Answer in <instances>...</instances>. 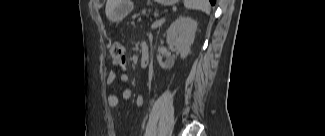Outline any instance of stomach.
I'll return each instance as SVG.
<instances>
[{
    "label": "stomach",
    "instance_id": "stomach-1",
    "mask_svg": "<svg viewBox=\"0 0 325 136\" xmlns=\"http://www.w3.org/2000/svg\"><path fill=\"white\" fill-rule=\"evenodd\" d=\"M159 4L162 5H173L178 0H156ZM131 2L129 0H119L117 3L113 13H112V21L118 22L121 21L131 10Z\"/></svg>",
    "mask_w": 325,
    "mask_h": 136
}]
</instances>
